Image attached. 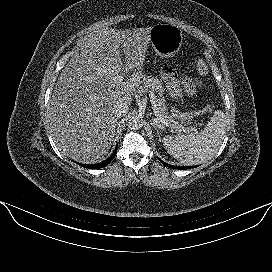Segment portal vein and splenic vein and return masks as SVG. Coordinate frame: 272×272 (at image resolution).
Segmentation results:
<instances>
[{
	"instance_id": "portal-vein-and-splenic-vein-1",
	"label": "portal vein and splenic vein",
	"mask_w": 272,
	"mask_h": 272,
	"mask_svg": "<svg viewBox=\"0 0 272 272\" xmlns=\"http://www.w3.org/2000/svg\"><path fill=\"white\" fill-rule=\"evenodd\" d=\"M149 97H150V101H151V104H152V108H153V111H154V114L156 116V118L159 120V122H161L163 125H166V126H169L168 125V122L167 120H165L163 118V116L160 114L159 112V107L157 105V101H156V96L154 94L153 91H149ZM188 130L192 131V132H195L197 133V129H195L194 127H189Z\"/></svg>"
}]
</instances>
